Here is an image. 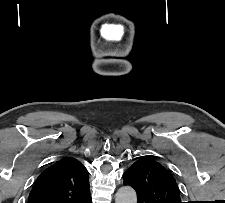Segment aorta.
I'll use <instances>...</instances> for the list:
<instances>
[{
  "label": "aorta",
  "mask_w": 225,
  "mask_h": 203,
  "mask_svg": "<svg viewBox=\"0 0 225 203\" xmlns=\"http://www.w3.org/2000/svg\"><path fill=\"white\" fill-rule=\"evenodd\" d=\"M115 203H137L135 190L129 186L121 187L116 193Z\"/></svg>",
  "instance_id": "obj_1"
}]
</instances>
